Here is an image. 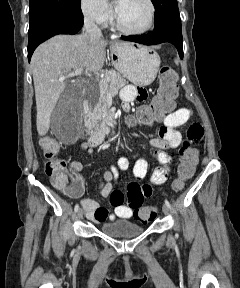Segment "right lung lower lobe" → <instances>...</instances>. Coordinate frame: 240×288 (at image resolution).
Here are the masks:
<instances>
[{
  "label": "right lung lower lobe",
  "mask_w": 240,
  "mask_h": 288,
  "mask_svg": "<svg viewBox=\"0 0 240 288\" xmlns=\"http://www.w3.org/2000/svg\"><path fill=\"white\" fill-rule=\"evenodd\" d=\"M82 25L83 18L73 19L68 17H54L39 24L33 32L28 33L29 61L40 43L57 34H75L81 29Z\"/></svg>",
  "instance_id": "98d812e1"
}]
</instances>
